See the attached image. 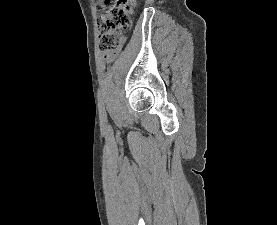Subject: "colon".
<instances>
[{
	"label": "colon",
	"instance_id": "5ec220e1",
	"mask_svg": "<svg viewBox=\"0 0 277 225\" xmlns=\"http://www.w3.org/2000/svg\"><path fill=\"white\" fill-rule=\"evenodd\" d=\"M136 0H98L101 14L97 20L99 49L104 54H114L123 44L122 32L131 24V14Z\"/></svg>",
	"mask_w": 277,
	"mask_h": 225
}]
</instances>
